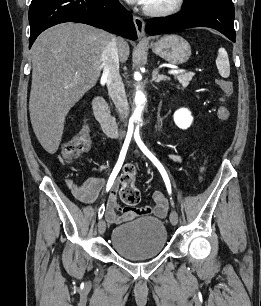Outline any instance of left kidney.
Instances as JSON below:
<instances>
[{
    "instance_id": "5707ae66",
    "label": "left kidney",
    "mask_w": 261,
    "mask_h": 306,
    "mask_svg": "<svg viewBox=\"0 0 261 306\" xmlns=\"http://www.w3.org/2000/svg\"><path fill=\"white\" fill-rule=\"evenodd\" d=\"M174 122L180 129H187L193 122V117L188 109L182 108L174 113Z\"/></svg>"
}]
</instances>
